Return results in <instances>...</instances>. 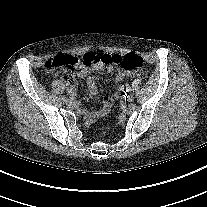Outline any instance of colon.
Here are the masks:
<instances>
[{
	"mask_svg": "<svg viewBox=\"0 0 207 207\" xmlns=\"http://www.w3.org/2000/svg\"><path fill=\"white\" fill-rule=\"evenodd\" d=\"M98 63L120 65L126 71H134L141 69L144 61L140 56L133 53L123 56L118 54H94L87 55L82 59L69 54H61L48 61L45 68L48 71H64V79L72 85L74 74L79 67Z\"/></svg>",
	"mask_w": 207,
	"mask_h": 207,
	"instance_id": "colon-1",
	"label": "colon"
}]
</instances>
